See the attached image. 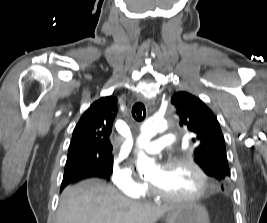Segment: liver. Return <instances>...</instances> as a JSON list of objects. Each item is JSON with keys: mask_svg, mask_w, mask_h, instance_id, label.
Returning <instances> with one entry per match:
<instances>
[{"mask_svg": "<svg viewBox=\"0 0 267 223\" xmlns=\"http://www.w3.org/2000/svg\"><path fill=\"white\" fill-rule=\"evenodd\" d=\"M172 205L133 201L99 179H88L64 189L57 223H155Z\"/></svg>", "mask_w": 267, "mask_h": 223, "instance_id": "liver-1", "label": "liver"}]
</instances>
